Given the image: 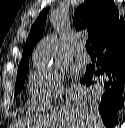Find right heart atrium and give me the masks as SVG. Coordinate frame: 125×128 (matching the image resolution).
<instances>
[{
	"label": "right heart atrium",
	"mask_w": 125,
	"mask_h": 128,
	"mask_svg": "<svg viewBox=\"0 0 125 128\" xmlns=\"http://www.w3.org/2000/svg\"><path fill=\"white\" fill-rule=\"evenodd\" d=\"M31 102L38 108H50L63 94L60 77L52 70H34L28 79Z\"/></svg>",
	"instance_id": "1"
}]
</instances>
